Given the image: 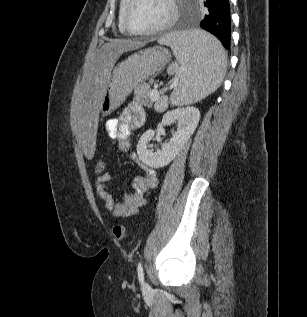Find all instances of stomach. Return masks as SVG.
Here are the masks:
<instances>
[{
    "label": "stomach",
    "mask_w": 307,
    "mask_h": 317,
    "mask_svg": "<svg viewBox=\"0 0 307 317\" xmlns=\"http://www.w3.org/2000/svg\"><path fill=\"white\" fill-rule=\"evenodd\" d=\"M169 60V51L164 47L155 46L134 53L121 61L114 68L102 98L100 107L102 113L108 115L113 112L136 85L157 76Z\"/></svg>",
    "instance_id": "0dacf381"
}]
</instances>
